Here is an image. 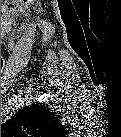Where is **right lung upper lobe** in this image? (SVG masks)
Instances as JSON below:
<instances>
[{
    "mask_svg": "<svg viewBox=\"0 0 121 137\" xmlns=\"http://www.w3.org/2000/svg\"><path fill=\"white\" fill-rule=\"evenodd\" d=\"M61 127L54 113L41 103L24 108L1 125L3 131L17 135H51Z\"/></svg>",
    "mask_w": 121,
    "mask_h": 137,
    "instance_id": "right-lung-upper-lobe-1",
    "label": "right lung upper lobe"
}]
</instances>
